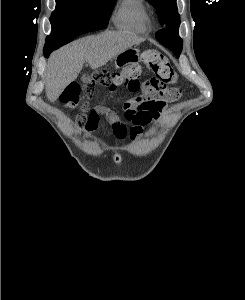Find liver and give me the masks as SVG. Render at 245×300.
Returning <instances> with one entry per match:
<instances>
[{
	"label": "liver",
	"mask_w": 245,
	"mask_h": 300,
	"mask_svg": "<svg viewBox=\"0 0 245 300\" xmlns=\"http://www.w3.org/2000/svg\"><path fill=\"white\" fill-rule=\"evenodd\" d=\"M140 42V38L129 33L106 31L59 49L51 55L45 74L48 100L54 102L59 98L64 89L78 77L85 62L96 69Z\"/></svg>",
	"instance_id": "1"
}]
</instances>
